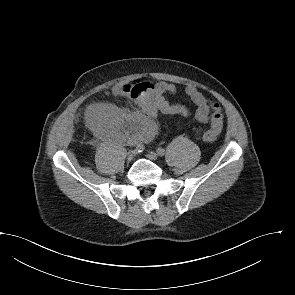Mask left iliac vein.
<instances>
[{"instance_id":"4c4485c4","label":"left iliac vein","mask_w":295,"mask_h":295,"mask_svg":"<svg viewBox=\"0 0 295 295\" xmlns=\"http://www.w3.org/2000/svg\"><path fill=\"white\" fill-rule=\"evenodd\" d=\"M146 156L151 161H156L157 158H158V155L155 152H152V151L148 152Z\"/></svg>"}]
</instances>
